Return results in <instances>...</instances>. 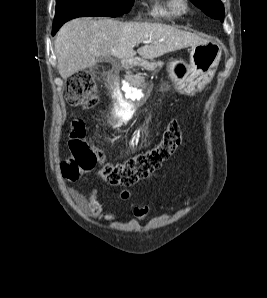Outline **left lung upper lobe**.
Masks as SVG:
<instances>
[{
	"label": "left lung upper lobe",
	"instance_id": "obj_1",
	"mask_svg": "<svg viewBox=\"0 0 267 298\" xmlns=\"http://www.w3.org/2000/svg\"><path fill=\"white\" fill-rule=\"evenodd\" d=\"M191 2L208 16L223 21L224 6L220 0H191Z\"/></svg>",
	"mask_w": 267,
	"mask_h": 298
}]
</instances>
